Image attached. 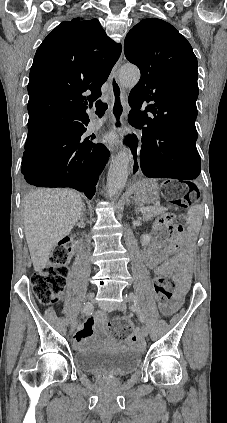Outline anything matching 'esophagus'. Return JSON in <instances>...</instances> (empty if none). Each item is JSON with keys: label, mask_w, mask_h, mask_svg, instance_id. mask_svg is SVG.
Listing matches in <instances>:
<instances>
[{"label": "esophagus", "mask_w": 227, "mask_h": 423, "mask_svg": "<svg viewBox=\"0 0 227 423\" xmlns=\"http://www.w3.org/2000/svg\"><path fill=\"white\" fill-rule=\"evenodd\" d=\"M123 42L121 56L113 67L110 74L111 83V115L114 118V125H122V116L125 112L126 105L124 100V90L118 80V72L123 61ZM130 134L133 132L130 131ZM119 143L126 148L130 160L131 175L136 177L140 174V147L141 139L138 134L136 135H118Z\"/></svg>", "instance_id": "34e87169"}]
</instances>
